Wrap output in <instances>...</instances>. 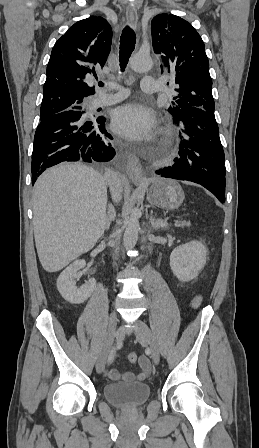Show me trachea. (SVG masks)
<instances>
[{
    "label": "trachea",
    "instance_id": "trachea-1",
    "mask_svg": "<svg viewBox=\"0 0 259 448\" xmlns=\"http://www.w3.org/2000/svg\"><path fill=\"white\" fill-rule=\"evenodd\" d=\"M136 44V36L135 32L128 27V25L122 31V35L120 37V51H119V61L121 70L124 71L128 60L135 48ZM99 87H103V82H98Z\"/></svg>",
    "mask_w": 259,
    "mask_h": 448
}]
</instances>
